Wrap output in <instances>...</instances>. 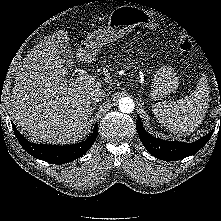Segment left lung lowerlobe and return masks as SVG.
Instances as JSON below:
<instances>
[{
  "label": "left lung lower lobe",
  "instance_id": "left-lung-lower-lobe-1",
  "mask_svg": "<svg viewBox=\"0 0 221 221\" xmlns=\"http://www.w3.org/2000/svg\"><path fill=\"white\" fill-rule=\"evenodd\" d=\"M136 129L147 151L154 157L164 161H175L195 154L208 142L213 133L212 131L193 143L165 141L148 134L143 128L139 116L136 122Z\"/></svg>",
  "mask_w": 221,
  "mask_h": 221
}]
</instances>
